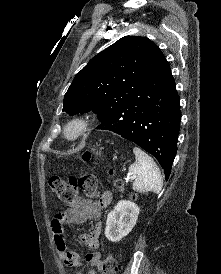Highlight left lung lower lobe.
I'll use <instances>...</instances> for the list:
<instances>
[{"label": "left lung lower lobe", "instance_id": "obj_1", "mask_svg": "<svg viewBox=\"0 0 221 274\" xmlns=\"http://www.w3.org/2000/svg\"><path fill=\"white\" fill-rule=\"evenodd\" d=\"M99 119L101 124L97 129L113 131L152 154L168 179L177 151L181 113L179 96L166 60L135 97Z\"/></svg>", "mask_w": 221, "mask_h": 274}]
</instances>
